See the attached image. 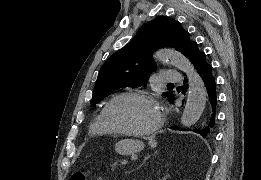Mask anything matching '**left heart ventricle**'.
Returning a JSON list of instances; mask_svg holds the SVG:
<instances>
[{
  "instance_id": "1",
  "label": "left heart ventricle",
  "mask_w": 261,
  "mask_h": 180,
  "mask_svg": "<svg viewBox=\"0 0 261 180\" xmlns=\"http://www.w3.org/2000/svg\"><path fill=\"white\" fill-rule=\"evenodd\" d=\"M107 118L118 132L144 134L154 123L155 105L141 97H124L108 108Z\"/></svg>"
}]
</instances>
